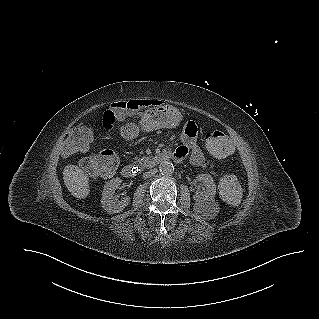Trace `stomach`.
<instances>
[{
    "mask_svg": "<svg viewBox=\"0 0 319 319\" xmlns=\"http://www.w3.org/2000/svg\"><path fill=\"white\" fill-rule=\"evenodd\" d=\"M181 112L171 105H159L145 112L139 122L143 133H150L161 128H175L182 121Z\"/></svg>",
    "mask_w": 319,
    "mask_h": 319,
    "instance_id": "0dacf381",
    "label": "stomach"
}]
</instances>
